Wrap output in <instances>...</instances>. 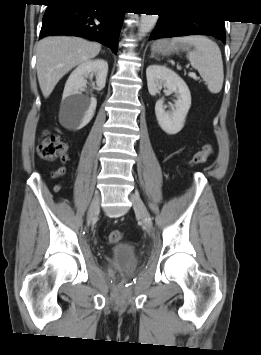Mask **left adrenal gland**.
<instances>
[{
  "instance_id": "left-adrenal-gland-1",
  "label": "left adrenal gland",
  "mask_w": 261,
  "mask_h": 355,
  "mask_svg": "<svg viewBox=\"0 0 261 355\" xmlns=\"http://www.w3.org/2000/svg\"><path fill=\"white\" fill-rule=\"evenodd\" d=\"M150 57H151V58H155V55L152 53Z\"/></svg>"
}]
</instances>
